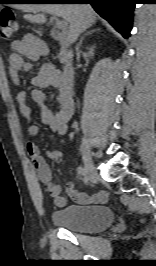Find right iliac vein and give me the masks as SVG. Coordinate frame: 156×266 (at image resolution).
Instances as JSON below:
<instances>
[{
  "label": "right iliac vein",
  "instance_id": "right-iliac-vein-1",
  "mask_svg": "<svg viewBox=\"0 0 156 266\" xmlns=\"http://www.w3.org/2000/svg\"><path fill=\"white\" fill-rule=\"evenodd\" d=\"M81 150L86 179L87 181H92L95 178L96 173L91 155L83 146Z\"/></svg>",
  "mask_w": 156,
  "mask_h": 266
}]
</instances>
